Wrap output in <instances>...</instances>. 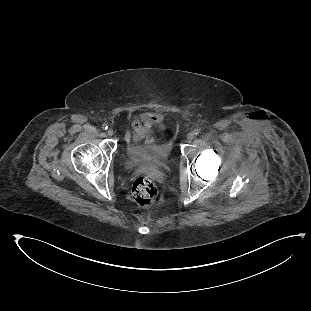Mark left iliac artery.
I'll return each instance as SVG.
<instances>
[{
  "instance_id": "left-iliac-artery-1",
  "label": "left iliac artery",
  "mask_w": 311,
  "mask_h": 311,
  "mask_svg": "<svg viewBox=\"0 0 311 311\" xmlns=\"http://www.w3.org/2000/svg\"><path fill=\"white\" fill-rule=\"evenodd\" d=\"M193 133H194L195 135H198V134L200 133V130H199V129H195V130L193 131Z\"/></svg>"
}]
</instances>
